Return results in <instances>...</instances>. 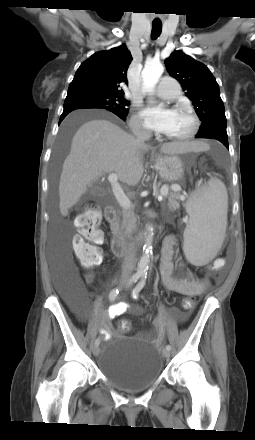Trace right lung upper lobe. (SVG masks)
I'll list each match as a JSON object with an SVG mask.
<instances>
[{"mask_svg":"<svg viewBox=\"0 0 255 440\" xmlns=\"http://www.w3.org/2000/svg\"><path fill=\"white\" fill-rule=\"evenodd\" d=\"M131 61L125 44L94 53L76 71L67 97L90 92L124 95L122 85L128 84L126 74Z\"/></svg>","mask_w":255,"mask_h":440,"instance_id":"1","label":"right lung upper lobe"}]
</instances>
